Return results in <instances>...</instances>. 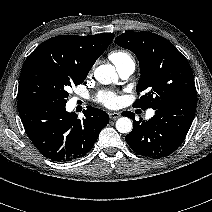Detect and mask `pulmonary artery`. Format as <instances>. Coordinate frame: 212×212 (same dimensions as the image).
<instances>
[{
	"instance_id": "e3ab8cb5",
	"label": "pulmonary artery",
	"mask_w": 212,
	"mask_h": 212,
	"mask_svg": "<svg viewBox=\"0 0 212 212\" xmlns=\"http://www.w3.org/2000/svg\"><path fill=\"white\" fill-rule=\"evenodd\" d=\"M135 69V63L133 60L125 61L124 63L117 66V71L122 78L129 77ZM147 117L151 118L154 116V110H148Z\"/></svg>"
}]
</instances>
